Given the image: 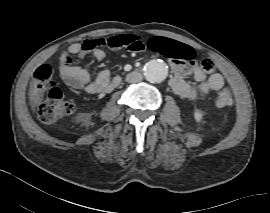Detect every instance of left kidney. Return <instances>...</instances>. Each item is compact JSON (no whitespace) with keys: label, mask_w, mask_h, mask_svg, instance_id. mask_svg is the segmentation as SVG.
<instances>
[{"label":"left kidney","mask_w":270,"mask_h":213,"mask_svg":"<svg viewBox=\"0 0 270 213\" xmlns=\"http://www.w3.org/2000/svg\"><path fill=\"white\" fill-rule=\"evenodd\" d=\"M194 118L197 122H201L203 119V113L200 110H195L194 111Z\"/></svg>","instance_id":"left-kidney-1"}]
</instances>
